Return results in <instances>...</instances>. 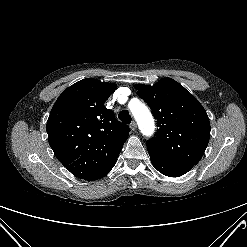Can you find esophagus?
<instances>
[{
    "label": "esophagus",
    "mask_w": 247,
    "mask_h": 247,
    "mask_svg": "<svg viewBox=\"0 0 247 247\" xmlns=\"http://www.w3.org/2000/svg\"><path fill=\"white\" fill-rule=\"evenodd\" d=\"M137 128V124H136V122H131V124H130V129L132 130V131H134L135 129Z\"/></svg>",
    "instance_id": "obj_1"
}]
</instances>
